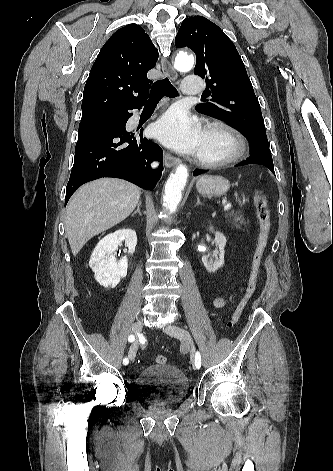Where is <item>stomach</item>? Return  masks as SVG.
<instances>
[{"instance_id":"1","label":"stomach","mask_w":333,"mask_h":471,"mask_svg":"<svg viewBox=\"0 0 333 471\" xmlns=\"http://www.w3.org/2000/svg\"><path fill=\"white\" fill-rule=\"evenodd\" d=\"M229 187L230 183L227 179L213 175H204L196 183L198 192L208 196H222Z\"/></svg>"}]
</instances>
